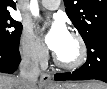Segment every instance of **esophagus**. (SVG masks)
Returning a JSON list of instances; mask_svg holds the SVG:
<instances>
[{"instance_id":"34e87169","label":"esophagus","mask_w":107,"mask_h":89,"mask_svg":"<svg viewBox=\"0 0 107 89\" xmlns=\"http://www.w3.org/2000/svg\"><path fill=\"white\" fill-rule=\"evenodd\" d=\"M41 83L42 85H53L52 76L48 73H43L41 75Z\"/></svg>"}]
</instances>
